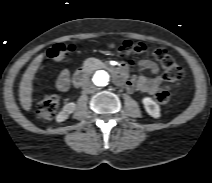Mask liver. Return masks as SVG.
Masks as SVG:
<instances>
[{
    "label": "liver",
    "mask_w": 212,
    "mask_h": 183,
    "mask_svg": "<svg viewBox=\"0 0 212 183\" xmlns=\"http://www.w3.org/2000/svg\"><path fill=\"white\" fill-rule=\"evenodd\" d=\"M43 60V54L37 56L25 71L19 87L20 102L24 110L32 106L33 79Z\"/></svg>",
    "instance_id": "liver-1"
}]
</instances>
